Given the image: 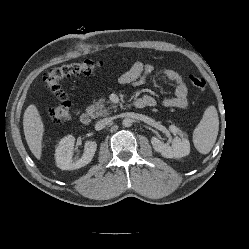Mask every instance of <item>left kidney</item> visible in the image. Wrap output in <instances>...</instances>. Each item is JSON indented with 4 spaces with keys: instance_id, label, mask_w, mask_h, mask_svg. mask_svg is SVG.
<instances>
[{
    "instance_id": "5707ae66",
    "label": "left kidney",
    "mask_w": 249,
    "mask_h": 249,
    "mask_svg": "<svg viewBox=\"0 0 249 249\" xmlns=\"http://www.w3.org/2000/svg\"><path fill=\"white\" fill-rule=\"evenodd\" d=\"M169 130L174 134H178L172 141V146L163 143L159 138L152 137L151 144L154 150L165 158H181L190 153V143L185 135L175 125H170Z\"/></svg>"
}]
</instances>
